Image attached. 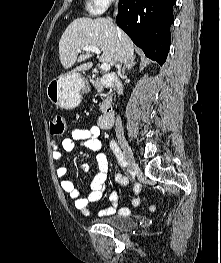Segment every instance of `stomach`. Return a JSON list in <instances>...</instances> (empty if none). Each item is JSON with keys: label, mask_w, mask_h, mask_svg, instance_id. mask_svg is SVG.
Here are the masks:
<instances>
[{"label": "stomach", "mask_w": 221, "mask_h": 263, "mask_svg": "<svg viewBox=\"0 0 221 263\" xmlns=\"http://www.w3.org/2000/svg\"><path fill=\"white\" fill-rule=\"evenodd\" d=\"M85 78L77 72H69L52 79L46 88L48 99L62 109H74L81 102V94L87 91Z\"/></svg>", "instance_id": "0dacf381"}]
</instances>
